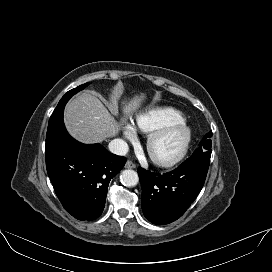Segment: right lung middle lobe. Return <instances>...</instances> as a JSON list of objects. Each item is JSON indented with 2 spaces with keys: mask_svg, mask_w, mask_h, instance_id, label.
I'll use <instances>...</instances> for the list:
<instances>
[{
  "mask_svg": "<svg viewBox=\"0 0 272 272\" xmlns=\"http://www.w3.org/2000/svg\"><path fill=\"white\" fill-rule=\"evenodd\" d=\"M88 83H85L83 85H80L70 91H68L59 101L57 107L55 108L48 124V129H47V135L46 139L51 137L53 134H55L58 130H60L63 127V111L65 104L67 101L77 92L80 90L84 89Z\"/></svg>",
  "mask_w": 272,
  "mask_h": 272,
  "instance_id": "right-lung-middle-lobe-1",
  "label": "right lung middle lobe"
}]
</instances>
